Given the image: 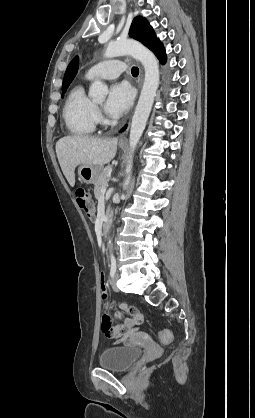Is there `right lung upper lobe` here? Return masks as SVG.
Returning <instances> with one entry per match:
<instances>
[{
  "label": "right lung upper lobe",
  "instance_id": "1",
  "mask_svg": "<svg viewBox=\"0 0 255 418\" xmlns=\"http://www.w3.org/2000/svg\"><path fill=\"white\" fill-rule=\"evenodd\" d=\"M77 70H78V57L76 56L67 67L63 84H62V89H65L68 87V85L71 83V81L75 77Z\"/></svg>",
  "mask_w": 255,
  "mask_h": 418
}]
</instances>
